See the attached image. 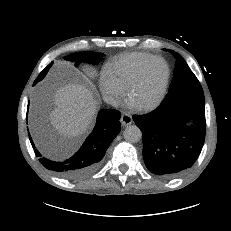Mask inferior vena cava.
I'll return each instance as SVG.
<instances>
[{
  "label": "inferior vena cava",
  "mask_w": 231,
  "mask_h": 231,
  "mask_svg": "<svg viewBox=\"0 0 231 231\" xmlns=\"http://www.w3.org/2000/svg\"><path fill=\"white\" fill-rule=\"evenodd\" d=\"M104 102H106L107 104H110L114 107H118L120 105L119 100L117 99V97L113 96V95H105L103 97Z\"/></svg>",
  "instance_id": "602c4592"
}]
</instances>
